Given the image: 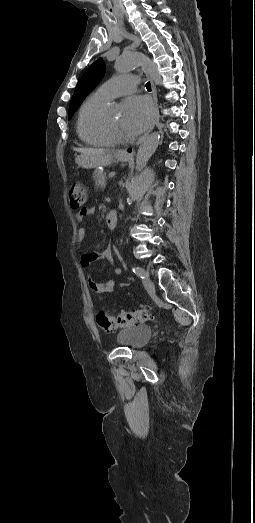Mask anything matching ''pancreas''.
Listing matches in <instances>:
<instances>
[{"label": "pancreas", "mask_w": 255, "mask_h": 523, "mask_svg": "<svg viewBox=\"0 0 255 523\" xmlns=\"http://www.w3.org/2000/svg\"><path fill=\"white\" fill-rule=\"evenodd\" d=\"M93 178L95 180V186H99V188H104L106 186V174H103L101 170H95L93 174Z\"/></svg>", "instance_id": "1"}]
</instances>
